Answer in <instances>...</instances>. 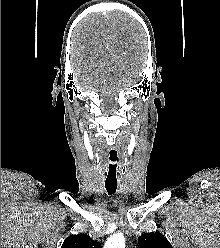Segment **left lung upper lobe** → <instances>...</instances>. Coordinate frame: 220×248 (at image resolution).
Returning <instances> with one entry per match:
<instances>
[{"mask_svg": "<svg viewBox=\"0 0 220 248\" xmlns=\"http://www.w3.org/2000/svg\"><path fill=\"white\" fill-rule=\"evenodd\" d=\"M140 248H172V245L161 233H145L138 238Z\"/></svg>", "mask_w": 220, "mask_h": 248, "instance_id": "obj_1", "label": "left lung upper lobe"}]
</instances>
